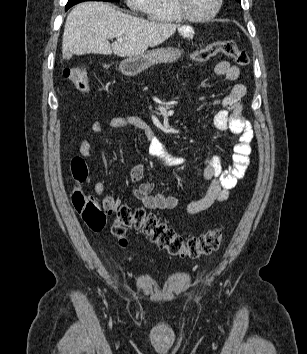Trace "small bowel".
<instances>
[{"label": "small bowel", "instance_id": "obj_1", "mask_svg": "<svg viewBox=\"0 0 307 354\" xmlns=\"http://www.w3.org/2000/svg\"><path fill=\"white\" fill-rule=\"evenodd\" d=\"M178 38H195V31L180 29ZM215 74L223 76L228 81H236L239 77V68L227 61H222L215 66ZM246 94V87L242 83L234 84L229 93L217 103L221 109L213 117V125L220 131H230L238 136V142L234 146L232 164L228 170H223L220 157L208 154L203 162V178L208 182V188L203 197L187 204L186 211L190 215L202 212L217 202L225 201L229 192L244 176L250 161L251 142L253 130L249 121L242 115V98ZM108 126L112 129L131 128L139 130L146 139V147L163 166L178 168L186 163L182 157L170 154L162 140L154 133L151 126L136 116L114 117L109 120ZM92 131L101 133L105 125L100 121L93 122ZM80 154L85 158L93 156V151L88 140H82L79 146ZM145 175L143 165H136L130 171V180L139 182ZM154 185L151 182H143L133 191L134 197L141 201L145 208L150 210L175 209L179 200L172 195L163 193L153 194ZM104 182L99 180L94 185L97 195L104 193ZM103 205L110 210H115L121 205V201L112 197H105Z\"/></svg>", "mask_w": 307, "mask_h": 354}]
</instances>
